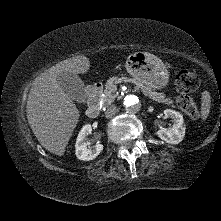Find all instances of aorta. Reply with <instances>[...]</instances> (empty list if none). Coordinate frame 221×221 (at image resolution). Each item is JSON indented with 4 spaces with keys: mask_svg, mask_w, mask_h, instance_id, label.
<instances>
[{
    "mask_svg": "<svg viewBox=\"0 0 221 221\" xmlns=\"http://www.w3.org/2000/svg\"><path fill=\"white\" fill-rule=\"evenodd\" d=\"M124 106L127 110L133 112L140 108V101L136 95H127L124 98Z\"/></svg>",
    "mask_w": 221,
    "mask_h": 221,
    "instance_id": "obj_1",
    "label": "aorta"
}]
</instances>
